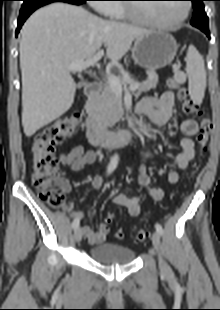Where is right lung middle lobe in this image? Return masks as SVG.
Returning a JSON list of instances; mask_svg holds the SVG:
<instances>
[{"label":"right lung middle lobe","instance_id":"dd1d6c3e","mask_svg":"<svg viewBox=\"0 0 220 310\" xmlns=\"http://www.w3.org/2000/svg\"><path fill=\"white\" fill-rule=\"evenodd\" d=\"M33 1H37V0H24V2H33Z\"/></svg>","mask_w":220,"mask_h":310}]
</instances>
